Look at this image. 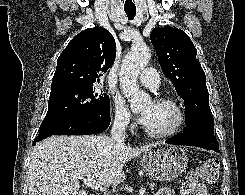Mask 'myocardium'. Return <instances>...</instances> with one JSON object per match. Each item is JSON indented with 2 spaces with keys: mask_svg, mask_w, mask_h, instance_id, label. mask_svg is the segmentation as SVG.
I'll return each mask as SVG.
<instances>
[{
  "mask_svg": "<svg viewBox=\"0 0 245 195\" xmlns=\"http://www.w3.org/2000/svg\"><path fill=\"white\" fill-rule=\"evenodd\" d=\"M155 103L172 106L177 111L178 119L176 124L170 130L164 132H152L144 125V133L152 139H166L179 133L184 128L187 121L184 107L176 99L171 97H159L155 100Z\"/></svg>",
  "mask_w": 245,
  "mask_h": 195,
  "instance_id": "f54148a6",
  "label": "myocardium"
}]
</instances>
